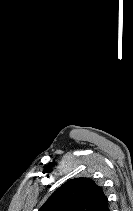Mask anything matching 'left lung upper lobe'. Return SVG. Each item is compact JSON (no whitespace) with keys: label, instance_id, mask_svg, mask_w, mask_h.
Listing matches in <instances>:
<instances>
[{"label":"left lung upper lobe","instance_id":"left-lung-upper-lobe-1","mask_svg":"<svg viewBox=\"0 0 133 211\" xmlns=\"http://www.w3.org/2000/svg\"><path fill=\"white\" fill-rule=\"evenodd\" d=\"M107 201L102 188L88 178H75L59 187L39 211H96Z\"/></svg>","mask_w":133,"mask_h":211}]
</instances>
